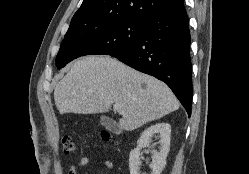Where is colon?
<instances>
[{"instance_id":"5ec220e1","label":"colon","mask_w":249,"mask_h":174,"mask_svg":"<svg viewBox=\"0 0 249 174\" xmlns=\"http://www.w3.org/2000/svg\"><path fill=\"white\" fill-rule=\"evenodd\" d=\"M100 137L104 142H111L112 136L108 131H102ZM62 146L65 154H75L76 145L70 136H64L62 138Z\"/></svg>"}]
</instances>
